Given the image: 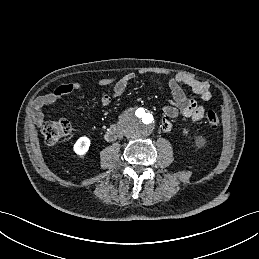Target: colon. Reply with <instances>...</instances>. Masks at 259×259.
Listing matches in <instances>:
<instances>
[{
	"label": "colon",
	"instance_id": "obj_1",
	"mask_svg": "<svg viewBox=\"0 0 259 259\" xmlns=\"http://www.w3.org/2000/svg\"><path fill=\"white\" fill-rule=\"evenodd\" d=\"M206 121L212 128H216L219 125V117L213 111L207 112ZM71 130L72 126L68 120L57 119L46 122L42 127V134L47 144L55 145L68 136Z\"/></svg>",
	"mask_w": 259,
	"mask_h": 259
}]
</instances>
